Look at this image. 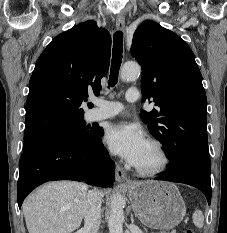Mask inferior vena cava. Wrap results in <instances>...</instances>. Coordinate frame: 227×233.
<instances>
[{"mask_svg": "<svg viewBox=\"0 0 227 233\" xmlns=\"http://www.w3.org/2000/svg\"><path fill=\"white\" fill-rule=\"evenodd\" d=\"M102 194L99 190H90L84 208V229L86 233H98L101 223Z\"/></svg>", "mask_w": 227, "mask_h": 233, "instance_id": "602c4592", "label": "inferior vena cava"}]
</instances>
